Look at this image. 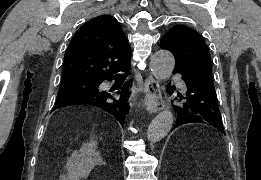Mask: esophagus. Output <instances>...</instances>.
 Instances as JSON below:
<instances>
[{
  "instance_id": "34e87169",
  "label": "esophagus",
  "mask_w": 261,
  "mask_h": 180,
  "mask_svg": "<svg viewBox=\"0 0 261 180\" xmlns=\"http://www.w3.org/2000/svg\"><path fill=\"white\" fill-rule=\"evenodd\" d=\"M145 91V100L144 103L147 107V110L150 113H156L159 110H163L164 102L160 86L158 81L152 76L149 75L144 83Z\"/></svg>"
}]
</instances>
